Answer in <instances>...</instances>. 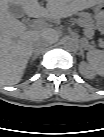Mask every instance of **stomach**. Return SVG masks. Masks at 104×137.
Here are the masks:
<instances>
[{
    "label": "stomach",
    "mask_w": 104,
    "mask_h": 137,
    "mask_svg": "<svg viewBox=\"0 0 104 137\" xmlns=\"http://www.w3.org/2000/svg\"><path fill=\"white\" fill-rule=\"evenodd\" d=\"M102 7H103V4H98V5L94 8L96 17H97V16L102 17V14H103ZM85 24H86V21H85Z\"/></svg>",
    "instance_id": "obj_1"
}]
</instances>
